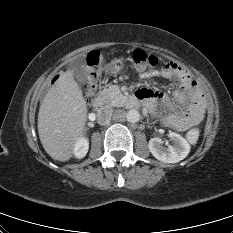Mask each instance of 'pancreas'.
I'll return each instance as SVG.
<instances>
[{"label": "pancreas", "mask_w": 233, "mask_h": 233, "mask_svg": "<svg viewBox=\"0 0 233 233\" xmlns=\"http://www.w3.org/2000/svg\"><path fill=\"white\" fill-rule=\"evenodd\" d=\"M103 94L108 103L112 106L123 107L129 105L130 98L124 96L116 85H112L104 89Z\"/></svg>", "instance_id": "pancreas-1"}]
</instances>
